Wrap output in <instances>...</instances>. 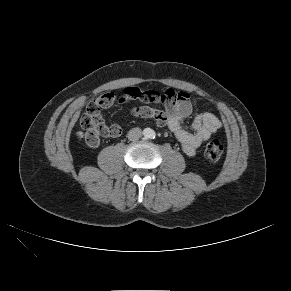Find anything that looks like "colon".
Masks as SVG:
<instances>
[{"label":"colon","instance_id":"5ec220e1","mask_svg":"<svg viewBox=\"0 0 291 291\" xmlns=\"http://www.w3.org/2000/svg\"><path fill=\"white\" fill-rule=\"evenodd\" d=\"M167 100V96H160L155 99V103L157 106L166 107L168 105ZM149 103L153 104L154 100L150 98ZM114 106L117 109H124L127 106V97L125 95L117 96L114 99ZM97 111V103L95 100L91 101L86 108V112L81 118V126L85 130L84 138L86 143L90 146L97 145L101 135L111 137L112 135L119 133V130L116 128L106 126L103 120L98 117ZM223 151L224 146L221 141L211 139L205 146L204 155L209 161L216 162L222 157Z\"/></svg>","mask_w":291,"mask_h":291}]
</instances>
